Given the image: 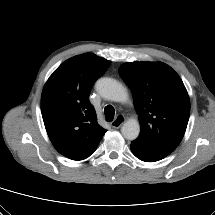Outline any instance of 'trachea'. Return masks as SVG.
I'll use <instances>...</instances> for the list:
<instances>
[{
  "mask_svg": "<svg viewBox=\"0 0 215 215\" xmlns=\"http://www.w3.org/2000/svg\"><path fill=\"white\" fill-rule=\"evenodd\" d=\"M104 114L107 121H112L115 115V109L113 106L108 105L104 108Z\"/></svg>",
  "mask_w": 215,
  "mask_h": 215,
  "instance_id": "1",
  "label": "trachea"
}]
</instances>
